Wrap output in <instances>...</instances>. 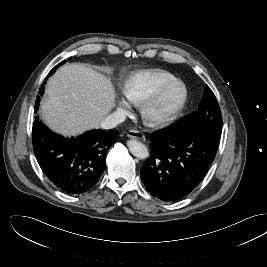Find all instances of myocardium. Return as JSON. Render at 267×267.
<instances>
[{
  "instance_id": "f54148a6",
  "label": "myocardium",
  "mask_w": 267,
  "mask_h": 267,
  "mask_svg": "<svg viewBox=\"0 0 267 267\" xmlns=\"http://www.w3.org/2000/svg\"><path fill=\"white\" fill-rule=\"evenodd\" d=\"M176 94L173 100L170 98ZM188 98L186 85L176 81L145 100L140 107L143 122L152 127L165 126L177 118Z\"/></svg>"
}]
</instances>
